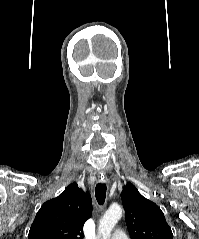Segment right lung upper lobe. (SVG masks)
<instances>
[{
    "instance_id": "cb5924a9",
    "label": "right lung upper lobe",
    "mask_w": 199,
    "mask_h": 239,
    "mask_svg": "<svg viewBox=\"0 0 199 239\" xmlns=\"http://www.w3.org/2000/svg\"><path fill=\"white\" fill-rule=\"evenodd\" d=\"M91 213L90 194L72 183L41 206L28 239H82L83 225Z\"/></svg>"
}]
</instances>
